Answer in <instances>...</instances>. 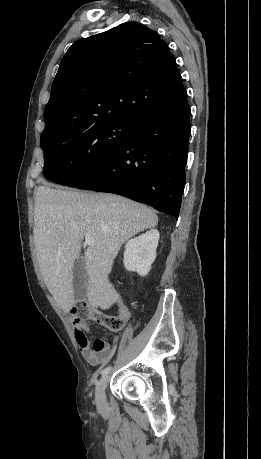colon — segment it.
<instances>
[{"mask_svg":"<svg viewBox=\"0 0 261 459\" xmlns=\"http://www.w3.org/2000/svg\"><path fill=\"white\" fill-rule=\"evenodd\" d=\"M84 307V305H82ZM71 314L77 313V309L74 307L70 310ZM82 314L84 316H87L88 314L83 310ZM98 322H100L105 328H107L110 331L117 332L121 330L124 325H125V317L121 314L119 315H113L109 313H104V312H97L93 316Z\"/></svg>","mask_w":261,"mask_h":459,"instance_id":"colon-1","label":"colon"}]
</instances>
